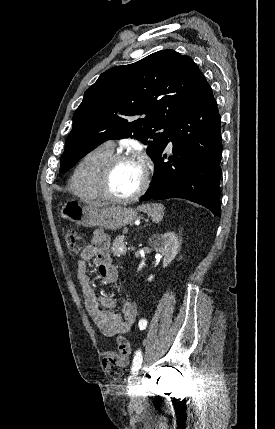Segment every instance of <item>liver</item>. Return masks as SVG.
<instances>
[{"mask_svg":"<svg viewBox=\"0 0 275 429\" xmlns=\"http://www.w3.org/2000/svg\"><path fill=\"white\" fill-rule=\"evenodd\" d=\"M91 206H94V207H100V206H102V205H100V204H92Z\"/></svg>","mask_w":275,"mask_h":429,"instance_id":"obj_1","label":"liver"}]
</instances>
